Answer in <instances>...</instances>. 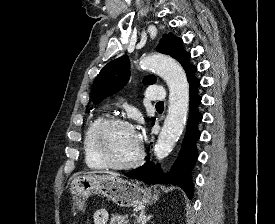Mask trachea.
I'll use <instances>...</instances> for the list:
<instances>
[{
	"instance_id": "3493384b",
	"label": "trachea",
	"mask_w": 275,
	"mask_h": 224,
	"mask_svg": "<svg viewBox=\"0 0 275 224\" xmlns=\"http://www.w3.org/2000/svg\"><path fill=\"white\" fill-rule=\"evenodd\" d=\"M156 106H164V103H163V102H158V103L156 104Z\"/></svg>"
}]
</instances>
